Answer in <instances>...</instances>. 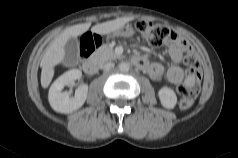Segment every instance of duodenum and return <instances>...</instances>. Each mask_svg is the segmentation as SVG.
Segmentation results:
<instances>
[{"label":"duodenum","instance_id":"410a0bca","mask_svg":"<svg viewBox=\"0 0 238 158\" xmlns=\"http://www.w3.org/2000/svg\"><path fill=\"white\" fill-rule=\"evenodd\" d=\"M133 63L139 67V68H146L147 63L144 59L142 58H135L133 60ZM83 70L85 71L86 74L88 75H93L98 71V63L95 60L89 59L86 60L83 64Z\"/></svg>","mask_w":238,"mask_h":158}]
</instances>
